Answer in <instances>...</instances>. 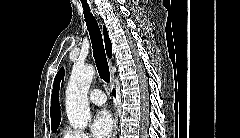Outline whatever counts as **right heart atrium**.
<instances>
[{
    "mask_svg": "<svg viewBox=\"0 0 240 138\" xmlns=\"http://www.w3.org/2000/svg\"><path fill=\"white\" fill-rule=\"evenodd\" d=\"M64 134L66 138H90V136L82 130L66 129Z\"/></svg>",
    "mask_w": 240,
    "mask_h": 138,
    "instance_id": "right-heart-atrium-1",
    "label": "right heart atrium"
}]
</instances>
